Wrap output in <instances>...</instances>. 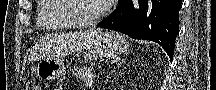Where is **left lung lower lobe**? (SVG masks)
Masks as SVG:
<instances>
[{"label":"left lung lower lobe","instance_id":"1","mask_svg":"<svg viewBox=\"0 0 216 90\" xmlns=\"http://www.w3.org/2000/svg\"><path fill=\"white\" fill-rule=\"evenodd\" d=\"M181 4V0H120L118 8L97 26L157 42L172 61Z\"/></svg>","mask_w":216,"mask_h":90}]
</instances>
